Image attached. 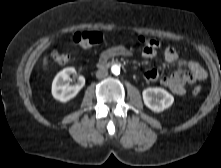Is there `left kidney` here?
Instances as JSON below:
<instances>
[{
	"label": "left kidney",
	"mask_w": 221,
	"mask_h": 168,
	"mask_svg": "<svg viewBox=\"0 0 221 168\" xmlns=\"http://www.w3.org/2000/svg\"><path fill=\"white\" fill-rule=\"evenodd\" d=\"M142 95L144 104L154 112H162L174 102V97L165 89L159 87L146 88Z\"/></svg>",
	"instance_id": "1"
}]
</instances>
